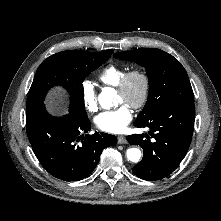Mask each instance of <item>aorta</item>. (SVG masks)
<instances>
[{
	"label": "aorta",
	"instance_id": "aorta-1",
	"mask_svg": "<svg viewBox=\"0 0 221 221\" xmlns=\"http://www.w3.org/2000/svg\"><path fill=\"white\" fill-rule=\"evenodd\" d=\"M114 96L115 94L113 89H104L98 96L100 106L104 109H110L113 106ZM126 157L128 161L136 163L141 158V151L138 148H129L126 151Z\"/></svg>",
	"mask_w": 221,
	"mask_h": 221
}]
</instances>
